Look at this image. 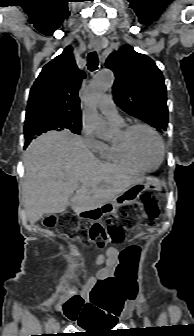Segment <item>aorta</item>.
<instances>
[{
	"label": "aorta",
	"instance_id": "1",
	"mask_svg": "<svg viewBox=\"0 0 194 336\" xmlns=\"http://www.w3.org/2000/svg\"><path fill=\"white\" fill-rule=\"evenodd\" d=\"M113 82V72L104 69L91 80L85 94L84 126L105 141L113 138L114 129L98 115L96 106L101 96L112 87Z\"/></svg>",
	"mask_w": 194,
	"mask_h": 336
}]
</instances>
